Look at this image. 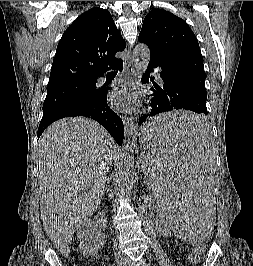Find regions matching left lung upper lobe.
I'll return each instance as SVG.
<instances>
[{
    "mask_svg": "<svg viewBox=\"0 0 253 266\" xmlns=\"http://www.w3.org/2000/svg\"><path fill=\"white\" fill-rule=\"evenodd\" d=\"M138 39L149 47L151 55L182 56L203 65L196 36L184 20L168 11H150Z\"/></svg>",
    "mask_w": 253,
    "mask_h": 266,
    "instance_id": "5c2ea615",
    "label": "left lung upper lobe"
}]
</instances>
